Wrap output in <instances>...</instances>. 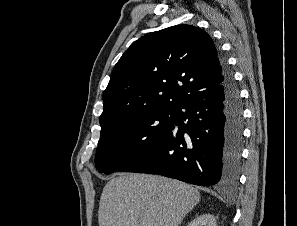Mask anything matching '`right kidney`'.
<instances>
[{"label":"right kidney","instance_id":"obj_1","mask_svg":"<svg viewBox=\"0 0 297 226\" xmlns=\"http://www.w3.org/2000/svg\"><path fill=\"white\" fill-rule=\"evenodd\" d=\"M188 226H217L213 215L202 214L191 221Z\"/></svg>","mask_w":297,"mask_h":226}]
</instances>
